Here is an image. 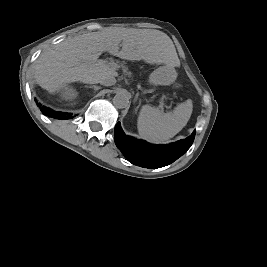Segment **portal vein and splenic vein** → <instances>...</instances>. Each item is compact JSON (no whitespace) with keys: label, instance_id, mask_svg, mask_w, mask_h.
Returning <instances> with one entry per match:
<instances>
[{"label":"portal vein and splenic vein","instance_id":"portal-vein-and-splenic-vein-1","mask_svg":"<svg viewBox=\"0 0 267 267\" xmlns=\"http://www.w3.org/2000/svg\"><path fill=\"white\" fill-rule=\"evenodd\" d=\"M99 65H101V64H99ZM110 65H111L114 69L117 68V65H116L115 63H111Z\"/></svg>","mask_w":267,"mask_h":267}]
</instances>
